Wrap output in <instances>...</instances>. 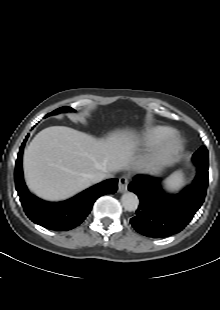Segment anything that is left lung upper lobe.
<instances>
[{
    "label": "left lung upper lobe",
    "mask_w": 220,
    "mask_h": 310,
    "mask_svg": "<svg viewBox=\"0 0 220 310\" xmlns=\"http://www.w3.org/2000/svg\"><path fill=\"white\" fill-rule=\"evenodd\" d=\"M208 151L205 146L200 147L193 155V162L197 167L208 168Z\"/></svg>",
    "instance_id": "left-lung-upper-lobe-1"
}]
</instances>
